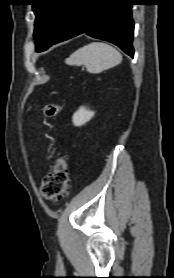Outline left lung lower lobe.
<instances>
[{
  "instance_id": "obj_1",
  "label": "left lung lower lobe",
  "mask_w": 174,
  "mask_h": 278,
  "mask_svg": "<svg viewBox=\"0 0 174 278\" xmlns=\"http://www.w3.org/2000/svg\"><path fill=\"white\" fill-rule=\"evenodd\" d=\"M131 5L134 0H77L56 43L86 33L117 45L133 57Z\"/></svg>"
}]
</instances>
